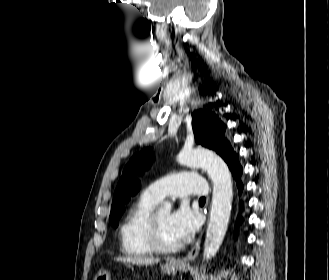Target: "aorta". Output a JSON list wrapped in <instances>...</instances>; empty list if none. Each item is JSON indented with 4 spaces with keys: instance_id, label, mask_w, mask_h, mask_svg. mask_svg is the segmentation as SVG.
<instances>
[{
    "instance_id": "1",
    "label": "aorta",
    "mask_w": 329,
    "mask_h": 280,
    "mask_svg": "<svg viewBox=\"0 0 329 280\" xmlns=\"http://www.w3.org/2000/svg\"><path fill=\"white\" fill-rule=\"evenodd\" d=\"M181 165L202 167L213 182V197L203 257L209 260L218 252L227 231L232 208L233 186L227 164L216 154L201 149H183L177 157ZM171 203L164 202L161 211L170 212Z\"/></svg>"
}]
</instances>
